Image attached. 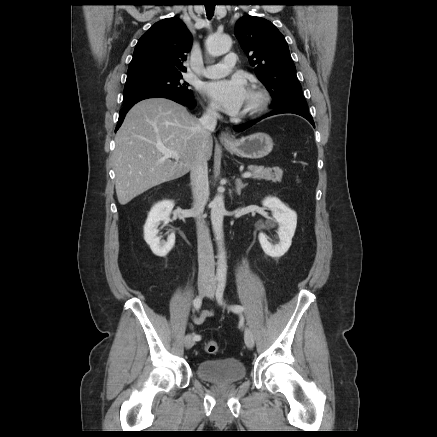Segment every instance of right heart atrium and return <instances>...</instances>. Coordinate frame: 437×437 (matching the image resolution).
<instances>
[{
  "label": "right heart atrium",
  "instance_id": "right-heart-atrium-1",
  "mask_svg": "<svg viewBox=\"0 0 437 437\" xmlns=\"http://www.w3.org/2000/svg\"><path fill=\"white\" fill-rule=\"evenodd\" d=\"M206 112L208 115L210 116H215L217 115V109L216 106L214 104H209L206 108Z\"/></svg>",
  "mask_w": 437,
  "mask_h": 437
}]
</instances>
